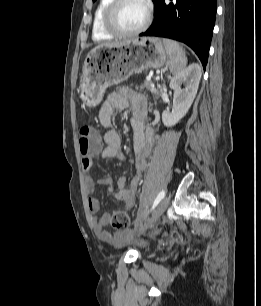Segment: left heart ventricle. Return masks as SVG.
I'll list each match as a JSON object with an SVG mask.
<instances>
[{"label":"left heart ventricle","mask_w":261,"mask_h":306,"mask_svg":"<svg viewBox=\"0 0 261 306\" xmlns=\"http://www.w3.org/2000/svg\"><path fill=\"white\" fill-rule=\"evenodd\" d=\"M146 17V7L141 0H125L115 13V22L123 30L139 27Z\"/></svg>","instance_id":"1"}]
</instances>
